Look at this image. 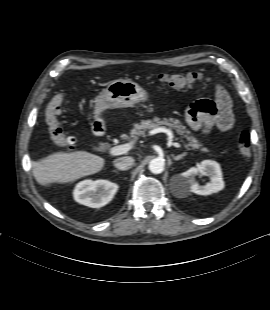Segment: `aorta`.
<instances>
[{
    "instance_id": "aorta-1",
    "label": "aorta",
    "mask_w": 270,
    "mask_h": 310,
    "mask_svg": "<svg viewBox=\"0 0 270 310\" xmlns=\"http://www.w3.org/2000/svg\"><path fill=\"white\" fill-rule=\"evenodd\" d=\"M164 166L165 163L162 159L160 158H155L152 159L149 163V170L153 173V174H160L164 171Z\"/></svg>"
}]
</instances>
